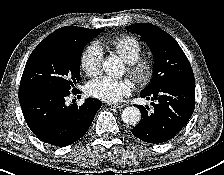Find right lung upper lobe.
<instances>
[{
	"instance_id": "obj_1",
	"label": "right lung upper lobe",
	"mask_w": 224,
	"mask_h": 175,
	"mask_svg": "<svg viewBox=\"0 0 224 175\" xmlns=\"http://www.w3.org/2000/svg\"><path fill=\"white\" fill-rule=\"evenodd\" d=\"M99 30L100 29H87L76 26H65L50 34L41 42V44H65L84 35L87 32H96Z\"/></svg>"
}]
</instances>
